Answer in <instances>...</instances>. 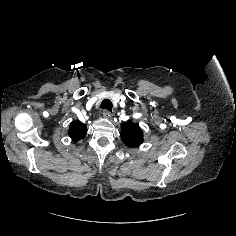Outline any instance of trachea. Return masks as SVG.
Wrapping results in <instances>:
<instances>
[{
    "label": "trachea",
    "instance_id": "1",
    "mask_svg": "<svg viewBox=\"0 0 236 236\" xmlns=\"http://www.w3.org/2000/svg\"><path fill=\"white\" fill-rule=\"evenodd\" d=\"M102 109L112 111V102L109 99H104L100 105Z\"/></svg>",
    "mask_w": 236,
    "mask_h": 236
}]
</instances>
